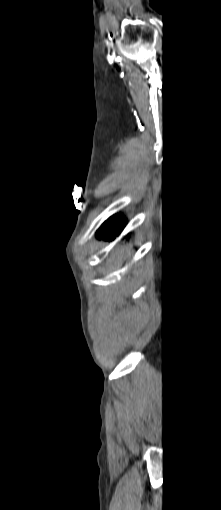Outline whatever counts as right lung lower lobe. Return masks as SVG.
I'll return each mask as SVG.
<instances>
[{
    "label": "right lung lower lobe",
    "mask_w": 221,
    "mask_h": 510,
    "mask_svg": "<svg viewBox=\"0 0 221 510\" xmlns=\"http://www.w3.org/2000/svg\"><path fill=\"white\" fill-rule=\"evenodd\" d=\"M126 221L122 217L114 216L105 222L99 230L97 237L104 240H113L123 230Z\"/></svg>",
    "instance_id": "right-lung-lower-lobe-1"
}]
</instances>
